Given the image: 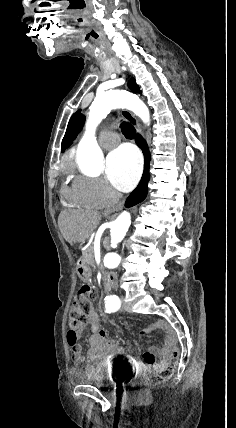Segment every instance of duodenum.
Wrapping results in <instances>:
<instances>
[{
    "label": "duodenum",
    "instance_id": "obj_1",
    "mask_svg": "<svg viewBox=\"0 0 236 428\" xmlns=\"http://www.w3.org/2000/svg\"><path fill=\"white\" fill-rule=\"evenodd\" d=\"M78 265L82 266L83 262L79 260ZM116 285H117V276L114 273L107 274L105 277V283H104V291L106 295H110L112 291L116 288Z\"/></svg>",
    "mask_w": 236,
    "mask_h": 428
}]
</instances>
